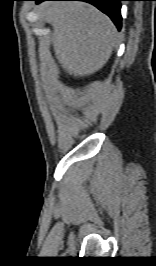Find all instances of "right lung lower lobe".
<instances>
[{
	"label": "right lung lower lobe",
	"mask_w": 156,
	"mask_h": 266,
	"mask_svg": "<svg viewBox=\"0 0 156 266\" xmlns=\"http://www.w3.org/2000/svg\"><path fill=\"white\" fill-rule=\"evenodd\" d=\"M36 3H40L43 1H84L93 4L96 6L99 10H101L103 13L108 15L114 24L117 26V28L121 29V14H120V8L121 4L120 2L122 0H34Z\"/></svg>",
	"instance_id": "98d812e1"
}]
</instances>
